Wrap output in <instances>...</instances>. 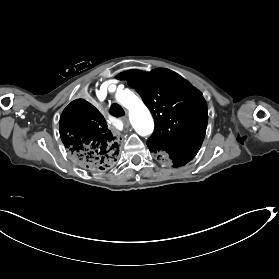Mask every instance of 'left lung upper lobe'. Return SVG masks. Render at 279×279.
<instances>
[{"instance_id":"5c2ea615","label":"left lung upper lobe","mask_w":279,"mask_h":279,"mask_svg":"<svg viewBox=\"0 0 279 279\" xmlns=\"http://www.w3.org/2000/svg\"><path fill=\"white\" fill-rule=\"evenodd\" d=\"M116 78L126 80L137 90L154 117L155 131L147 145L198 152L208 122L206 101L198 89L165 68L150 72L128 70Z\"/></svg>"}]
</instances>
